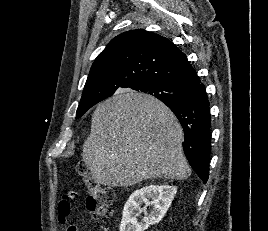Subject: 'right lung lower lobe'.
Masks as SVG:
<instances>
[{
    "label": "right lung lower lobe",
    "mask_w": 268,
    "mask_h": 231,
    "mask_svg": "<svg viewBox=\"0 0 268 231\" xmlns=\"http://www.w3.org/2000/svg\"><path fill=\"white\" fill-rule=\"evenodd\" d=\"M180 121L185 140L184 153L194 171L207 182L209 176V157L211 151V116L209 100L200 82L182 100L163 101Z\"/></svg>",
    "instance_id": "obj_1"
}]
</instances>
